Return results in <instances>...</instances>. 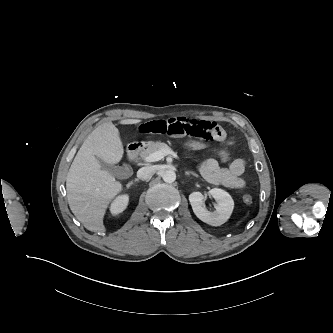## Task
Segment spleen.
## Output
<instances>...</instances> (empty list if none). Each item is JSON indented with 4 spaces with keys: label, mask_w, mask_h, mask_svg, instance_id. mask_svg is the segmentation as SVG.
I'll return each instance as SVG.
<instances>
[{
    "label": "spleen",
    "mask_w": 333,
    "mask_h": 333,
    "mask_svg": "<svg viewBox=\"0 0 333 333\" xmlns=\"http://www.w3.org/2000/svg\"><path fill=\"white\" fill-rule=\"evenodd\" d=\"M248 217V214L241 220V221H239L238 223H237V225L239 224V223H241L244 219H246Z\"/></svg>",
    "instance_id": "obj_1"
}]
</instances>
